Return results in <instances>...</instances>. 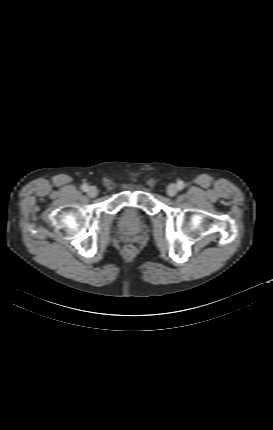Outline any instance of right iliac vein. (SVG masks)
<instances>
[{
	"label": "right iliac vein",
	"mask_w": 273,
	"mask_h": 430,
	"mask_svg": "<svg viewBox=\"0 0 273 430\" xmlns=\"http://www.w3.org/2000/svg\"><path fill=\"white\" fill-rule=\"evenodd\" d=\"M87 194H88L89 197L94 198L97 195V189H96V187H94V186L89 187V189L87 191Z\"/></svg>",
	"instance_id": "right-iliac-vein-1"
}]
</instances>
